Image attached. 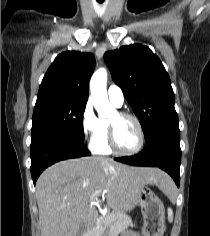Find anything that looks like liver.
I'll return each mask as SVG.
<instances>
[{"instance_id": "6515ba94", "label": "liver", "mask_w": 210, "mask_h": 236, "mask_svg": "<svg viewBox=\"0 0 210 236\" xmlns=\"http://www.w3.org/2000/svg\"><path fill=\"white\" fill-rule=\"evenodd\" d=\"M170 177L156 168L130 167L111 159L82 157L47 168L36 183L41 236H78L81 224L92 225L95 205L104 198L114 210L128 211L146 185L165 192Z\"/></svg>"}]
</instances>
